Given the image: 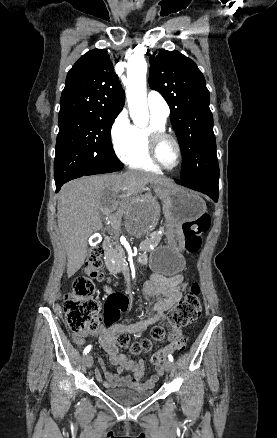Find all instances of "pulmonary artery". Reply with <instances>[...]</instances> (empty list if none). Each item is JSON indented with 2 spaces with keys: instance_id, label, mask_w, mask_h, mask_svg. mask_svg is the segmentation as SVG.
Returning <instances> with one entry per match:
<instances>
[{
  "instance_id": "1",
  "label": "pulmonary artery",
  "mask_w": 277,
  "mask_h": 438,
  "mask_svg": "<svg viewBox=\"0 0 277 438\" xmlns=\"http://www.w3.org/2000/svg\"><path fill=\"white\" fill-rule=\"evenodd\" d=\"M161 92L159 89L156 91ZM144 105L150 115L159 120L166 121L170 115V108L162 95H147L144 100Z\"/></svg>"
}]
</instances>
